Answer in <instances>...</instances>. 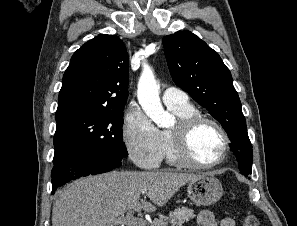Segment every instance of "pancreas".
<instances>
[{"label": "pancreas", "instance_id": "cf45deb5", "mask_svg": "<svg viewBox=\"0 0 297 226\" xmlns=\"http://www.w3.org/2000/svg\"><path fill=\"white\" fill-rule=\"evenodd\" d=\"M195 217L194 210L187 207H182L171 211L168 217L164 219H157L153 226H182Z\"/></svg>", "mask_w": 297, "mask_h": 226}]
</instances>
